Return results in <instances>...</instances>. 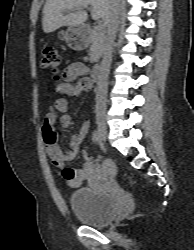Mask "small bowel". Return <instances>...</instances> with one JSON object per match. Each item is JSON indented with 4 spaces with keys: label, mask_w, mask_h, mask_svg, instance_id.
Segmentation results:
<instances>
[{
    "label": "small bowel",
    "mask_w": 194,
    "mask_h": 250,
    "mask_svg": "<svg viewBox=\"0 0 194 250\" xmlns=\"http://www.w3.org/2000/svg\"><path fill=\"white\" fill-rule=\"evenodd\" d=\"M87 67L83 63H73L64 72V82L59 87L64 96L77 97L92 87L91 80L87 77ZM68 101L65 97L58 98L44 119L42 128L43 138L48 156L53 165L61 170L62 178L71 186H80L84 181L90 180L96 174L97 169L92 163H86L81 169L65 168L67 162L75 159L79 147L83 143L89 130V122L84 121L79 130L71 136L69 144L62 148L58 144L56 122L62 128H68L72 124V117L67 113ZM102 171L110 173L109 165H104Z\"/></svg>",
    "instance_id": "obj_1"
}]
</instances>
